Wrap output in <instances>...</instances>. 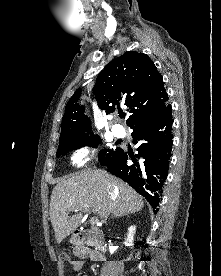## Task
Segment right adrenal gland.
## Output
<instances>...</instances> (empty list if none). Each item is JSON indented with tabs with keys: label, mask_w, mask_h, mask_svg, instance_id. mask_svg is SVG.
Returning a JSON list of instances; mask_svg holds the SVG:
<instances>
[{
	"label": "right adrenal gland",
	"mask_w": 221,
	"mask_h": 276,
	"mask_svg": "<svg viewBox=\"0 0 221 276\" xmlns=\"http://www.w3.org/2000/svg\"><path fill=\"white\" fill-rule=\"evenodd\" d=\"M126 215H128V214L119 215L116 218H119V217H122V216H126Z\"/></svg>",
	"instance_id": "1"
}]
</instances>
